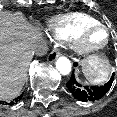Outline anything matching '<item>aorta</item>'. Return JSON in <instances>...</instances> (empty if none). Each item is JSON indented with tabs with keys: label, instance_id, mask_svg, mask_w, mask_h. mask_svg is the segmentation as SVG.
<instances>
[{
	"label": "aorta",
	"instance_id": "1",
	"mask_svg": "<svg viewBox=\"0 0 117 117\" xmlns=\"http://www.w3.org/2000/svg\"><path fill=\"white\" fill-rule=\"evenodd\" d=\"M56 68L62 75H68L71 72V62L66 57H59L56 61Z\"/></svg>",
	"mask_w": 117,
	"mask_h": 117
}]
</instances>
